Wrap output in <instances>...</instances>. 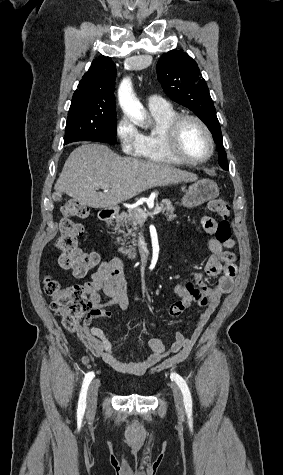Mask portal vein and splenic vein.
<instances>
[{
  "mask_svg": "<svg viewBox=\"0 0 283 475\" xmlns=\"http://www.w3.org/2000/svg\"><path fill=\"white\" fill-rule=\"evenodd\" d=\"M102 190H108V188H112L110 184H101ZM162 208H154L153 212H150V214H145V212H142L143 218H148V216H154V214H159L161 212Z\"/></svg>",
  "mask_w": 283,
  "mask_h": 475,
  "instance_id": "portal-vein-and-splenic-vein-1",
  "label": "portal vein and splenic vein"
}]
</instances>
